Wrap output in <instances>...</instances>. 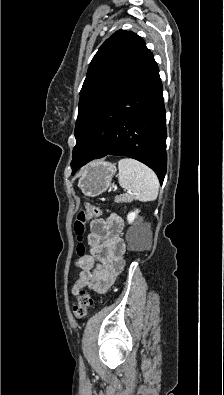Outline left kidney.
I'll return each instance as SVG.
<instances>
[{"instance_id":"5707ae66","label":"left kidney","mask_w":224,"mask_h":395,"mask_svg":"<svg viewBox=\"0 0 224 395\" xmlns=\"http://www.w3.org/2000/svg\"><path fill=\"white\" fill-rule=\"evenodd\" d=\"M138 213H139V210H135L134 212H130L128 214L127 220H128V222L130 224L135 220V218L137 217Z\"/></svg>"}]
</instances>
